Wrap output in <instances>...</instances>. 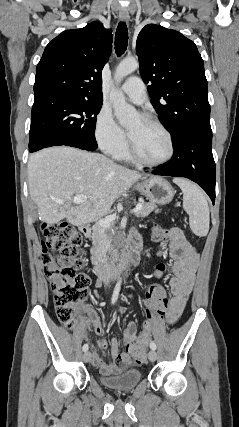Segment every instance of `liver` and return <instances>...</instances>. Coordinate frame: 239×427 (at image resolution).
Returning a JSON list of instances; mask_svg holds the SVG:
<instances>
[{
	"label": "liver",
	"mask_w": 239,
	"mask_h": 427,
	"mask_svg": "<svg viewBox=\"0 0 239 427\" xmlns=\"http://www.w3.org/2000/svg\"><path fill=\"white\" fill-rule=\"evenodd\" d=\"M140 178V173L102 154L72 147L46 148L28 160L29 194L47 224L65 218L75 226L97 221ZM73 195L87 199L76 204Z\"/></svg>",
	"instance_id": "obj_1"
}]
</instances>
